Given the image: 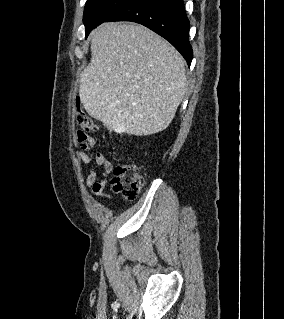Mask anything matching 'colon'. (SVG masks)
Here are the masks:
<instances>
[{
	"label": "colon",
	"instance_id": "colon-1",
	"mask_svg": "<svg viewBox=\"0 0 284 319\" xmlns=\"http://www.w3.org/2000/svg\"><path fill=\"white\" fill-rule=\"evenodd\" d=\"M76 121L85 132H95L97 126L93 120L83 111L76 112ZM143 186V177L139 168L134 164H119L114 169L111 187L114 192L125 199H135Z\"/></svg>",
	"mask_w": 284,
	"mask_h": 319
}]
</instances>
